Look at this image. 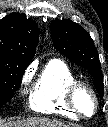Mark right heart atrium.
Listing matches in <instances>:
<instances>
[{"instance_id":"obj_1","label":"right heart atrium","mask_w":108,"mask_h":127,"mask_svg":"<svg viewBox=\"0 0 108 127\" xmlns=\"http://www.w3.org/2000/svg\"><path fill=\"white\" fill-rule=\"evenodd\" d=\"M31 77H32V68L29 67V68L24 72V74H23V76H22V80H21L22 83H23V84H27V83L30 81Z\"/></svg>"}]
</instances>
